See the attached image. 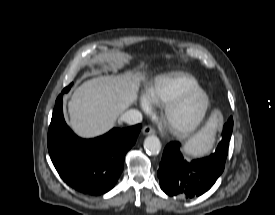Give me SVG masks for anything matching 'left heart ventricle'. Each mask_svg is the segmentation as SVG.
Masks as SVG:
<instances>
[{
  "label": "left heart ventricle",
  "instance_id": "obj_1",
  "mask_svg": "<svg viewBox=\"0 0 275 215\" xmlns=\"http://www.w3.org/2000/svg\"><path fill=\"white\" fill-rule=\"evenodd\" d=\"M201 106V98L194 96L186 101L174 114V120L177 124L187 125L191 123L198 115Z\"/></svg>",
  "mask_w": 275,
  "mask_h": 215
}]
</instances>
